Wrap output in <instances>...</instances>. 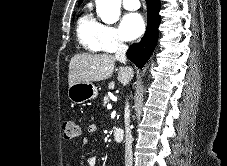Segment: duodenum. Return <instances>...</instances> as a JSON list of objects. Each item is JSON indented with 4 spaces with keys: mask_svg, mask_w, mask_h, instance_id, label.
Segmentation results:
<instances>
[{
    "mask_svg": "<svg viewBox=\"0 0 227 166\" xmlns=\"http://www.w3.org/2000/svg\"><path fill=\"white\" fill-rule=\"evenodd\" d=\"M113 137L116 143L121 144L124 139V131L121 127H116L113 131Z\"/></svg>",
    "mask_w": 227,
    "mask_h": 166,
    "instance_id": "obj_1",
    "label": "duodenum"
}]
</instances>
